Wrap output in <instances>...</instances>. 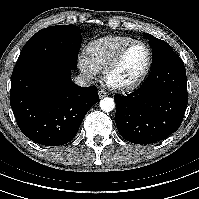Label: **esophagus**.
<instances>
[{
  "mask_svg": "<svg viewBox=\"0 0 199 199\" xmlns=\"http://www.w3.org/2000/svg\"><path fill=\"white\" fill-rule=\"evenodd\" d=\"M98 95L100 98H103L108 95V92H106L105 90H99Z\"/></svg>",
  "mask_w": 199,
  "mask_h": 199,
  "instance_id": "esophagus-1",
  "label": "esophagus"
}]
</instances>
